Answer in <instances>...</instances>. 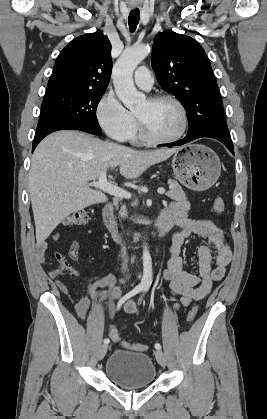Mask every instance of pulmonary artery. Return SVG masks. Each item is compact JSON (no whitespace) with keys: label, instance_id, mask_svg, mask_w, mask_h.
<instances>
[{"label":"pulmonary artery","instance_id":"pulmonary-artery-1","mask_svg":"<svg viewBox=\"0 0 267 419\" xmlns=\"http://www.w3.org/2000/svg\"><path fill=\"white\" fill-rule=\"evenodd\" d=\"M134 81L139 88L146 91H149L154 83L151 72L144 66L137 68L134 73Z\"/></svg>","mask_w":267,"mask_h":419}]
</instances>
